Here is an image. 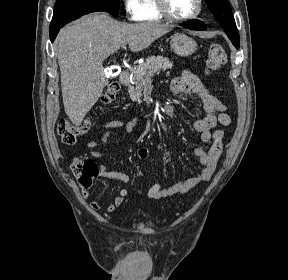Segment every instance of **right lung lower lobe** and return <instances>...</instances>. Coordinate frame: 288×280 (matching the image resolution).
Returning a JSON list of instances; mask_svg holds the SVG:
<instances>
[{
    "label": "right lung lower lobe",
    "mask_w": 288,
    "mask_h": 280,
    "mask_svg": "<svg viewBox=\"0 0 288 280\" xmlns=\"http://www.w3.org/2000/svg\"><path fill=\"white\" fill-rule=\"evenodd\" d=\"M96 11H105L108 12L101 6L85 4L81 6H75L61 11L60 13L53 15V19L50 25V39L53 42L56 38L57 33L60 28L66 25L67 23L79 18L82 15L96 12Z\"/></svg>",
    "instance_id": "1"
}]
</instances>
